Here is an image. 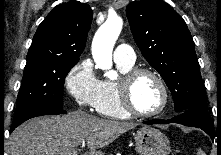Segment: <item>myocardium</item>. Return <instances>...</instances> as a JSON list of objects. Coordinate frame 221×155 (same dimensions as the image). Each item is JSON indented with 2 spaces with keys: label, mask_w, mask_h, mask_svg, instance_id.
Listing matches in <instances>:
<instances>
[{
  "label": "myocardium",
  "mask_w": 221,
  "mask_h": 155,
  "mask_svg": "<svg viewBox=\"0 0 221 155\" xmlns=\"http://www.w3.org/2000/svg\"><path fill=\"white\" fill-rule=\"evenodd\" d=\"M142 75L153 77L162 91V104L153 112H142L138 110L133 102L132 89L136 80ZM118 93L123 109L131 116L151 118L162 114L169 104V91L164 79L154 70L148 68H133L122 75L118 81Z\"/></svg>",
  "instance_id": "myocardium-1"
}]
</instances>
